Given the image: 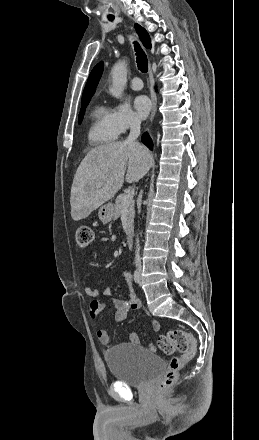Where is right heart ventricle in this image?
Masks as SVG:
<instances>
[{"label":"right heart ventricle","instance_id":"1","mask_svg":"<svg viewBox=\"0 0 259 440\" xmlns=\"http://www.w3.org/2000/svg\"><path fill=\"white\" fill-rule=\"evenodd\" d=\"M87 136L93 145L107 144L116 139L117 135L110 123V110L103 105H97L92 110Z\"/></svg>","mask_w":259,"mask_h":440}]
</instances>
